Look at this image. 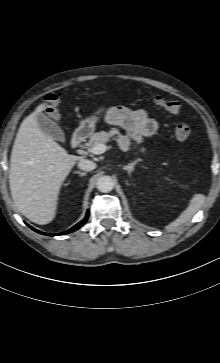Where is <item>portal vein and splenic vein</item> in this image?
<instances>
[{
    "label": "portal vein and splenic vein",
    "mask_w": 220,
    "mask_h": 363,
    "mask_svg": "<svg viewBox=\"0 0 220 363\" xmlns=\"http://www.w3.org/2000/svg\"><path fill=\"white\" fill-rule=\"evenodd\" d=\"M109 148L110 147L109 146H106L105 144H98V145H95L94 147H92L90 149V151H91V153L98 155V154L104 153Z\"/></svg>",
    "instance_id": "portal-vein-and-splenic-vein-1"
}]
</instances>
